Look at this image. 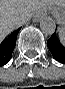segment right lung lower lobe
Returning <instances> with one entry per match:
<instances>
[{"label": "right lung lower lobe", "instance_id": "1", "mask_svg": "<svg viewBox=\"0 0 65 89\" xmlns=\"http://www.w3.org/2000/svg\"><path fill=\"white\" fill-rule=\"evenodd\" d=\"M19 30L20 28L14 31L0 43V66L5 65L11 59Z\"/></svg>", "mask_w": 65, "mask_h": 89}]
</instances>
